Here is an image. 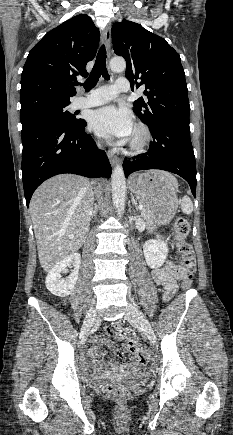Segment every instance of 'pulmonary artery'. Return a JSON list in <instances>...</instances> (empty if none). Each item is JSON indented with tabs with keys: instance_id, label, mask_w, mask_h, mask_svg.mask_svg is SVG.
Instances as JSON below:
<instances>
[{
	"instance_id": "e3ab8cb5",
	"label": "pulmonary artery",
	"mask_w": 233,
	"mask_h": 435,
	"mask_svg": "<svg viewBox=\"0 0 233 435\" xmlns=\"http://www.w3.org/2000/svg\"><path fill=\"white\" fill-rule=\"evenodd\" d=\"M129 90V81L125 78H118L115 85L102 86L87 96H77L72 104V108L81 109L105 104L114 99L120 92Z\"/></svg>"
}]
</instances>
